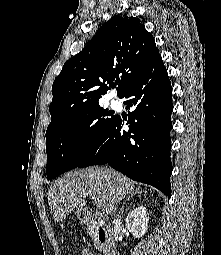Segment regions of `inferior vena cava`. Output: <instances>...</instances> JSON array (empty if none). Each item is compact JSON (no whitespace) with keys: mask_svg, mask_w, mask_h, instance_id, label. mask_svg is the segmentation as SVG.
Returning a JSON list of instances; mask_svg holds the SVG:
<instances>
[{"mask_svg":"<svg viewBox=\"0 0 221 255\" xmlns=\"http://www.w3.org/2000/svg\"><path fill=\"white\" fill-rule=\"evenodd\" d=\"M113 223H114L115 225H117V224L120 223V220L116 218V219H114Z\"/></svg>","mask_w":221,"mask_h":255,"instance_id":"1","label":"inferior vena cava"}]
</instances>
